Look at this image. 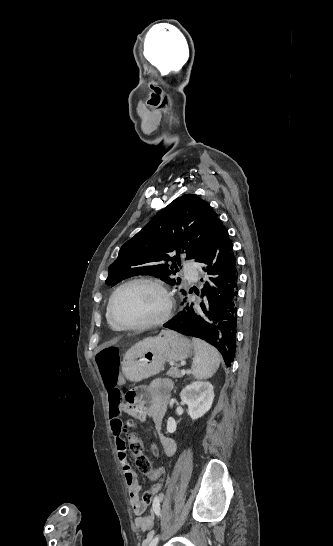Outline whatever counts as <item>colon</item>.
Returning <instances> with one entry per match:
<instances>
[{"mask_svg": "<svg viewBox=\"0 0 333 546\" xmlns=\"http://www.w3.org/2000/svg\"><path fill=\"white\" fill-rule=\"evenodd\" d=\"M96 365L102 376L103 382L108 389L109 399L112 403L120 401V392L115 389L118 381V368H119V352L115 346H106L100 349L95 356ZM136 392L129 393L127 396V402L133 404L136 398ZM138 407V406H135ZM130 426L133 423L130 422ZM129 446L130 451L134 457L136 467L138 471L146 476L157 475L158 482L152 486L143 495V503L149 504L154 502L156 498L161 496V479L164 474V470L161 467L154 468L149 460L144 444L140 437L135 432L129 433ZM151 450L154 454L157 453V449L154 445L151 446Z\"/></svg>", "mask_w": 333, "mask_h": 546, "instance_id": "1", "label": "colon"}]
</instances>
